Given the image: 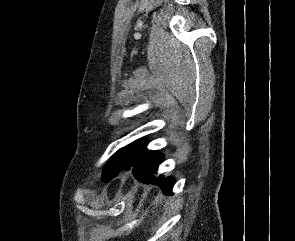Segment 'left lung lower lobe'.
I'll list each match as a JSON object with an SVG mask.
<instances>
[{
    "label": "left lung lower lobe",
    "mask_w": 295,
    "mask_h": 241,
    "mask_svg": "<svg viewBox=\"0 0 295 241\" xmlns=\"http://www.w3.org/2000/svg\"><path fill=\"white\" fill-rule=\"evenodd\" d=\"M163 156L157 151L146 150L140 157L132 161L122 170L131 171L133 176L142 183L154 184L161 188L164 194L172 195L174 179L172 177L154 176Z\"/></svg>",
    "instance_id": "0a47b994"
}]
</instances>
